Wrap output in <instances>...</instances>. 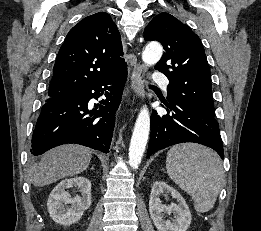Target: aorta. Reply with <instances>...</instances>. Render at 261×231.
<instances>
[{"instance_id":"aorta-1","label":"aorta","mask_w":261,"mask_h":231,"mask_svg":"<svg viewBox=\"0 0 261 231\" xmlns=\"http://www.w3.org/2000/svg\"><path fill=\"white\" fill-rule=\"evenodd\" d=\"M163 48L158 43H149L143 53V62L150 66L156 64L162 57ZM150 131V115L148 108L144 106L136 119L134 131L129 146V165L137 169L145 152Z\"/></svg>"}]
</instances>
